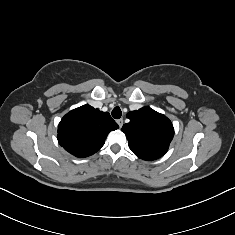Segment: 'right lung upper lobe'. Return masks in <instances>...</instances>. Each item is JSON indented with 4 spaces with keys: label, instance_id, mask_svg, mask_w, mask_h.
<instances>
[{
    "label": "right lung upper lobe",
    "instance_id": "cb5924a9",
    "mask_svg": "<svg viewBox=\"0 0 235 235\" xmlns=\"http://www.w3.org/2000/svg\"><path fill=\"white\" fill-rule=\"evenodd\" d=\"M118 127L108 112L86 104L62 118L58 141L72 155L84 158L96 153L104 145L108 133Z\"/></svg>",
    "mask_w": 235,
    "mask_h": 235
}]
</instances>
